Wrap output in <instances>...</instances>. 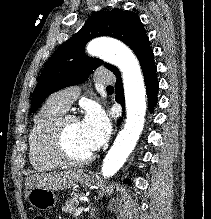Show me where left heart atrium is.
<instances>
[{"mask_svg":"<svg viewBox=\"0 0 211 219\" xmlns=\"http://www.w3.org/2000/svg\"><path fill=\"white\" fill-rule=\"evenodd\" d=\"M80 129L89 149L95 151L108 140L111 125L104 111L97 106H92L80 122Z\"/></svg>","mask_w":211,"mask_h":219,"instance_id":"39dd6f15","label":"left heart atrium"}]
</instances>
